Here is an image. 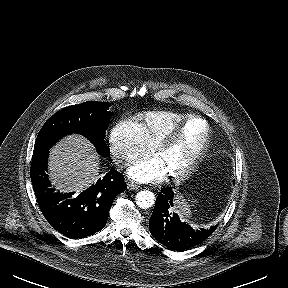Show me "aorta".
Returning <instances> with one entry per match:
<instances>
[{
  "label": "aorta",
  "instance_id": "762f6f07",
  "mask_svg": "<svg viewBox=\"0 0 288 288\" xmlns=\"http://www.w3.org/2000/svg\"><path fill=\"white\" fill-rule=\"evenodd\" d=\"M135 202L138 207L148 209L155 203V195L149 190H142L135 196Z\"/></svg>",
  "mask_w": 288,
  "mask_h": 288
}]
</instances>
